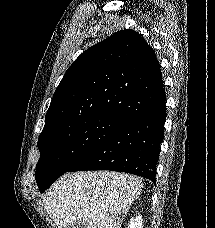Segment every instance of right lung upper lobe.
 I'll return each instance as SVG.
<instances>
[{
	"label": "right lung upper lobe",
	"mask_w": 215,
	"mask_h": 228,
	"mask_svg": "<svg viewBox=\"0 0 215 228\" xmlns=\"http://www.w3.org/2000/svg\"><path fill=\"white\" fill-rule=\"evenodd\" d=\"M165 99L153 48L138 32L124 29L88 48L67 69L42 133L94 116L126 120Z\"/></svg>",
	"instance_id": "right-lung-upper-lobe-1"
}]
</instances>
